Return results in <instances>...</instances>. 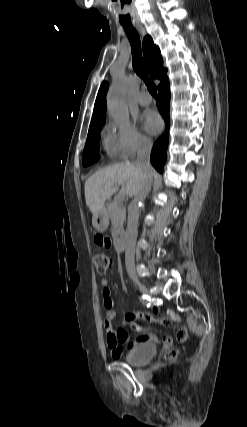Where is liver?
<instances>
[{
	"label": "liver",
	"mask_w": 247,
	"mask_h": 427,
	"mask_svg": "<svg viewBox=\"0 0 247 427\" xmlns=\"http://www.w3.org/2000/svg\"><path fill=\"white\" fill-rule=\"evenodd\" d=\"M143 171L136 162H121L95 172L85 182V200L93 216L122 185V192L134 196L142 185Z\"/></svg>",
	"instance_id": "1"
}]
</instances>
